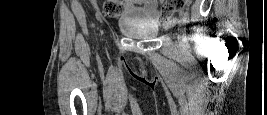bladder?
<instances>
[{
  "mask_svg": "<svg viewBox=\"0 0 267 115\" xmlns=\"http://www.w3.org/2000/svg\"><path fill=\"white\" fill-rule=\"evenodd\" d=\"M120 29L124 34L137 39H149L155 37L158 34V28L154 25L149 24H121Z\"/></svg>",
  "mask_w": 267,
  "mask_h": 115,
  "instance_id": "1",
  "label": "bladder"
}]
</instances>
